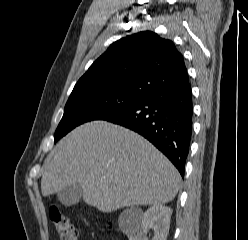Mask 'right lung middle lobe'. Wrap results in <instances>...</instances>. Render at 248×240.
Listing matches in <instances>:
<instances>
[{
    "mask_svg": "<svg viewBox=\"0 0 248 240\" xmlns=\"http://www.w3.org/2000/svg\"><path fill=\"white\" fill-rule=\"evenodd\" d=\"M142 96L112 88H82L73 90L64 108L54 138L55 142L76 126L104 119L137 102Z\"/></svg>",
    "mask_w": 248,
    "mask_h": 240,
    "instance_id": "obj_1",
    "label": "right lung middle lobe"
}]
</instances>
